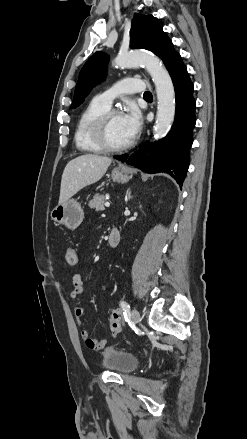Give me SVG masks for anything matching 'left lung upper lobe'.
<instances>
[{"instance_id":"5c2ea615","label":"left lung upper lobe","mask_w":247,"mask_h":439,"mask_svg":"<svg viewBox=\"0 0 247 439\" xmlns=\"http://www.w3.org/2000/svg\"><path fill=\"white\" fill-rule=\"evenodd\" d=\"M162 28L161 22L152 15L136 16L130 30V47L153 52L162 59L170 72L182 58L173 49L171 40ZM108 59L106 54L97 52L85 63L76 84L73 108L83 102L92 87L104 80Z\"/></svg>"}]
</instances>
